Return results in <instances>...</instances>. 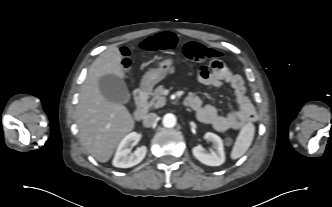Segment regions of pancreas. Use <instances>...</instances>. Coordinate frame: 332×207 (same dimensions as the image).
Instances as JSON below:
<instances>
[{"instance_id":"cf45deb5","label":"pancreas","mask_w":332,"mask_h":207,"mask_svg":"<svg viewBox=\"0 0 332 207\" xmlns=\"http://www.w3.org/2000/svg\"><path fill=\"white\" fill-rule=\"evenodd\" d=\"M164 90V87L160 85L151 93L152 98L148 102L149 107L160 108L165 105L166 98L164 96Z\"/></svg>"}]
</instances>
